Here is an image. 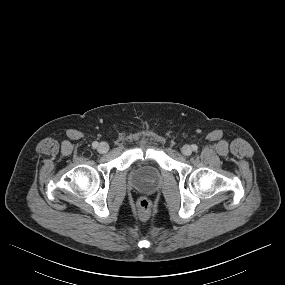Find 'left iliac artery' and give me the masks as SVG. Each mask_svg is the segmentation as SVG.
Wrapping results in <instances>:
<instances>
[{
  "instance_id": "left-iliac-artery-1",
  "label": "left iliac artery",
  "mask_w": 285,
  "mask_h": 285,
  "mask_svg": "<svg viewBox=\"0 0 285 285\" xmlns=\"http://www.w3.org/2000/svg\"><path fill=\"white\" fill-rule=\"evenodd\" d=\"M192 149H193L194 151H197L198 146L194 144V145H192Z\"/></svg>"
}]
</instances>
